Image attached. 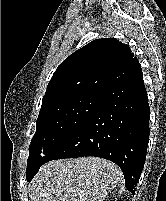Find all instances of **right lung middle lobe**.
Instances as JSON below:
<instances>
[{
  "label": "right lung middle lobe",
  "instance_id": "1",
  "mask_svg": "<svg viewBox=\"0 0 166 201\" xmlns=\"http://www.w3.org/2000/svg\"><path fill=\"white\" fill-rule=\"evenodd\" d=\"M103 96L87 94L61 101L39 114L29 146L26 178L46 163L55 148L99 105Z\"/></svg>",
  "mask_w": 166,
  "mask_h": 201
}]
</instances>
